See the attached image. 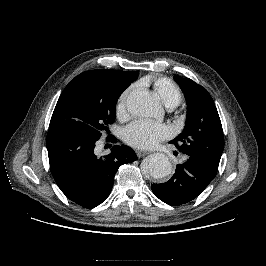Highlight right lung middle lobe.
Wrapping results in <instances>:
<instances>
[{
    "label": "right lung middle lobe",
    "mask_w": 266,
    "mask_h": 266,
    "mask_svg": "<svg viewBox=\"0 0 266 266\" xmlns=\"http://www.w3.org/2000/svg\"><path fill=\"white\" fill-rule=\"evenodd\" d=\"M110 72H86L63 90L51 117L49 131L74 132L100 139L115 120V107L123 91L134 81Z\"/></svg>",
    "instance_id": "1"
}]
</instances>
